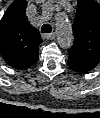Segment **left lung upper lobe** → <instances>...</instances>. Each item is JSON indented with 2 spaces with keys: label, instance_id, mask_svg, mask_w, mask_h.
<instances>
[{
  "label": "left lung upper lobe",
  "instance_id": "5c2ea615",
  "mask_svg": "<svg viewBox=\"0 0 100 118\" xmlns=\"http://www.w3.org/2000/svg\"><path fill=\"white\" fill-rule=\"evenodd\" d=\"M72 28L74 43L67 64L85 73L100 62V5L95 0H78Z\"/></svg>",
  "mask_w": 100,
  "mask_h": 118
}]
</instances>
